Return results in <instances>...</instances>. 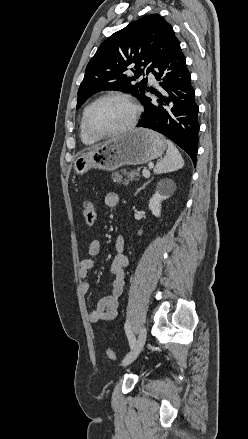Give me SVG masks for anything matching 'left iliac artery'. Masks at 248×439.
<instances>
[{
    "instance_id": "obj_1",
    "label": "left iliac artery",
    "mask_w": 248,
    "mask_h": 439,
    "mask_svg": "<svg viewBox=\"0 0 248 439\" xmlns=\"http://www.w3.org/2000/svg\"><path fill=\"white\" fill-rule=\"evenodd\" d=\"M125 332H126L128 340H129L130 347L132 348L135 344V336H134L128 322L125 323Z\"/></svg>"
}]
</instances>
